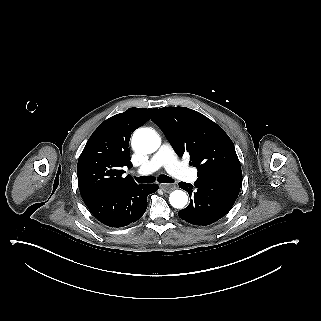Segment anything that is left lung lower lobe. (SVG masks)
<instances>
[{
  "label": "left lung lower lobe",
  "mask_w": 321,
  "mask_h": 321,
  "mask_svg": "<svg viewBox=\"0 0 321 321\" xmlns=\"http://www.w3.org/2000/svg\"><path fill=\"white\" fill-rule=\"evenodd\" d=\"M242 183L241 170L198 175L194 186L180 182L190 196V204L178 216L193 225L206 226L225 216L234 205Z\"/></svg>",
  "instance_id": "left-lung-lower-lobe-1"
}]
</instances>
